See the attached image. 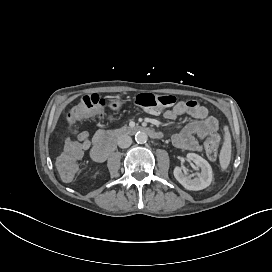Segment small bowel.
I'll return each mask as SVG.
<instances>
[{
	"label": "small bowel",
	"instance_id": "1",
	"mask_svg": "<svg viewBox=\"0 0 272 272\" xmlns=\"http://www.w3.org/2000/svg\"><path fill=\"white\" fill-rule=\"evenodd\" d=\"M180 115H189L194 120L188 122L180 132L173 136L174 146L189 151L203 150L205 144H201L195 138V135L203 138L208 132H217L219 130V121L215 117L209 116L208 109L194 100L179 101L164 113L165 118L169 120L176 119ZM100 135L101 132L93 140L90 139L86 131H81L77 135V140L82 143L81 156L84 151H91L95 147Z\"/></svg>",
	"mask_w": 272,
	"mask_h": 272
}]
</instances>
